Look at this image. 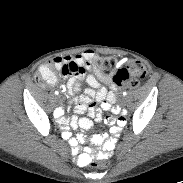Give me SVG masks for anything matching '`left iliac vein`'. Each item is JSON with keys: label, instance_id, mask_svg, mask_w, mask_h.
I'll use <instances>...</instances> for the list:
<instances>
[{"label": "left iliac vein", "instance_id": "obj_1", "mask_svg": "<svg viewBox=\"0 0 183 183\" xmlns=\"http://www.w3.org/2000/svg\"><path fill=\"white\" fill-rule=\"evenodd\" d=\"M122 102L125 103V99H123Z\"/></svg>", "mask_w": 183, "mask_h": 183}]
</instances>
